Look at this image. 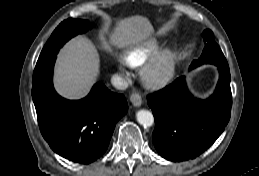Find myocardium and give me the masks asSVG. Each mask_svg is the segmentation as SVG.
I'll use <instances>...</instances> for the list:
<instances>
[{
    "label": "myocardium",
    "mask_w": 259,
    "mask_h": 176,
    "mask_svg": "<svg viewBox=\"0 0 259 176\" xmlns=\"http://www.w3.org/2000/svg\"><path fill=\"white\" fill-rule=\"evenodd\" d=\"M178 63V47L172 44L145 65L141 74L143 83L152 89L169 85L176 76Z\"/></svg>",
    "instance_id": "1"
}]
</instances>
